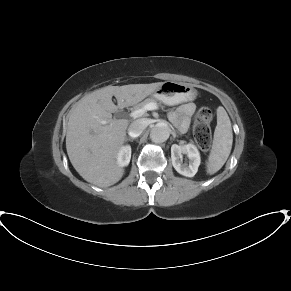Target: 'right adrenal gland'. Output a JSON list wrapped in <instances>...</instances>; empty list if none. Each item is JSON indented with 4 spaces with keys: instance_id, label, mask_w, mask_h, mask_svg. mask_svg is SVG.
Instances as JSON below:
<instances>
[{
    "instance_id": "1",
    "label": "right adrenal gland",
    "mask_w": 291,
    "mask_h": 291,
    "mask_svg": "<svg viewBox=\"0 0 291 291\" xmlns=\"http://www.w3.org/2000/svg\"><path fill=\"white\" fill-rule=\"evenodd\" d=\"M134 138H126V141H133Z\"/></svg>"
}]
</instances>
